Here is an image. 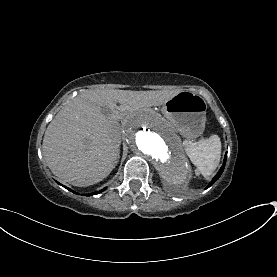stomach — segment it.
Listing matches in <instances>:
<instances>
[{
	"label": "stomach",
	"mask_w": 277,
	"mask_h": 277,
	"mask_svg": "<svg viewBox=\"0 0 277 277\" xmlns=\"http://www.w3.org/2000/svg\"><path fill=\"white\" fill-rule=\"evenodd\" d=\"M206 103L190 91H181L163 104L162 112L187 139L201 135L206 122Z\"/></svg>",
	"instance_id": "0dacf381"
}]
</instances>
